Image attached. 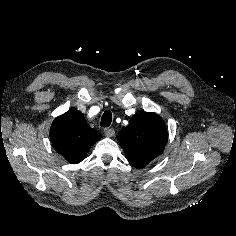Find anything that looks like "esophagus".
Returning <instances> with one entry per match:
<instances>
[{"mask_svg":"<svg viewBox=\"0 0 236 236\" xmlns=\"http://www.w3.org/2000/svg\"><path fill=\"white\" fill-rule=\"evenodd\" d=\"M104 133L107 137H113L115 135V130L113 128H106Z\"/></svg>","mask_w":236,"mask_h":236,"instance_id":"34e87169","label":"esophagus"}]
</instances>
